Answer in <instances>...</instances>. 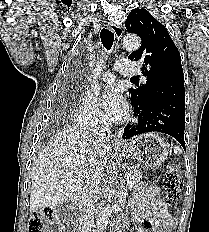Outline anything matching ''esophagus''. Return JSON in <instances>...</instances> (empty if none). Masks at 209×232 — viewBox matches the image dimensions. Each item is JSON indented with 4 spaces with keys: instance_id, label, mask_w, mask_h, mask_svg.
Masks as SVG:
<instances>
[{
    "instance_id": "1",
    "label": "esophagus",
    "mask_w": 209,
    "mask_h": 232,
    "mask_svg": "<svg viewBox=\"0 0 209 232\" xmlns=\"http://www.w3.org/2000/svg\"><path fill=\"white\" fill-rule=\"evenodd\" d=\"M108 27L115 34L117 40H120L122 38L123 30L119 25H116L114 23H109ZM113 139H114V144L118 145V140L114 135H113Z\"/></svg>"
}]
</instances>
